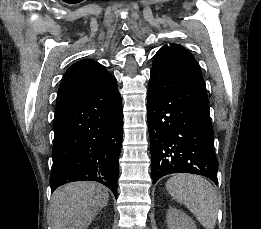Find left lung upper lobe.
I'll return each instance as SVG.
<instances>
[{
	"mask_svg": "<svg viewBox=\"0 0 261 229\" xmlns=\"http://www.w3.org/2000/svg\"><path fill=\"white\" fill-rule=\"evenodd\" d=\"M153 66L167 71L201 76V68L193 55L180 45L163 46L154 55Z\"/></svg>",
	"mask_w": 261,
	"mask_h": 229,
	"instance_id": "obj_1",
	"label": "left lung upper lobe"
}]
</instances>
